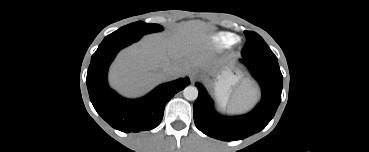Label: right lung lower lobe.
<instances>
[{
	"mask_svg": "<svg viewBox=\"0 0 369 152\" xmlns=\"http://www.w3.org/2000/svg\"><path fill=\"white\" fill-rule=\"evenodd\" d=\"M140 38L126 33L105 37L92 56L86 80L90 100L98 114L113 128L127 133L157 127L166 103L189 84L188 78L178 79L158 86L137 100L124 99L111 90L107 83L110 63L119 50Z\"/></svg>",
	"mask_w": 369,
	"mask_h": 152,
	"instance_id": "right-lung-lower-lobe-1",
	"label": "right lung lower lobe"
}]
</instances>
